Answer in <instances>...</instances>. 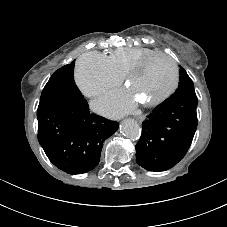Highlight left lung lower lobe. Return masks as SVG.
Here are the masks:
<instances>
[{
    "mask_svg": "<svg viewBox=\"0 0 227 227\" xmlns=\"http://www.w3.org/2000/svg\"><path fill=\"white\" fill-rule=\"evenodd\" d=\"M196 95L171 96L143 121L136 161L149 171H165L188 151L196 128Z\"/></svg>",
    "mask_w": 227,
    "mask_h": 227,
    "instance_id": "obj_1",
    "label": "left lung lower lobe"
}]
</instances>
